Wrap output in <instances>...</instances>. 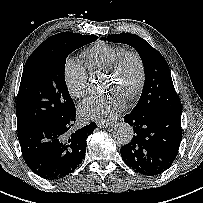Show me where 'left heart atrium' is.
I'll list each match as a JSON object with an SVG mask.
<instances>
[{"label": "left heart atrium", "mask_w": 203, "mask_h": 203, "mask_svg": "<svg viewBox=\"0 0 203 203\" xmlns=\"http://www.w3.org/2000/svg\"><path fill=\"white\" fill-rule=\"evenodd\" d=\"M124 108L122 100L91 96L85 99L79 107V115L84 120L106 122L114 119Z\"/></svg>", "instance_id": "1"}]
</instances>
